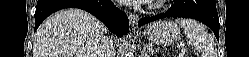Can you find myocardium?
Masks as SVG:
<instances>
[{"mask_svg": "<svg viewBox=\"0 0 249 57\" xmlns=\"http://www.w3.org/2000/svg\"><path fill=\"white\" fill-rule=\"evenodd\" d=\"M163 2L164 0H158L156 1L155 6H161Z\"/></svg>", "mask_w": 249, "mask_h": 57, "instance_id": "obj_1", "label": "myocardium"}]
</instances>
